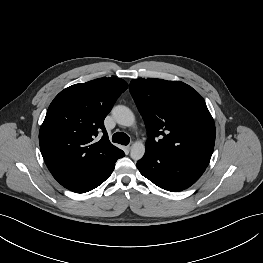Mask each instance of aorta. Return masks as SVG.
Here are the masks:
<instances>
[{"label": "aorta", "instance_id": "obj_1", "mask_svg": "<svg viewBox=\"0 0 263 263\" xmlns=\"http://www.w3.org/2000/svg\"><path fill=\"white\" fill-rule=\"evenodd\" d=\"M112 116L115 121L122 126L131 127L135 124L133 112L126 106L118 105L112 109ZM145 154V146L142 142L137 141L131 147L130 156L133 160H140Z\"/></svg>", "mask_w": 263, "mask_h": 263}]
</instances>
